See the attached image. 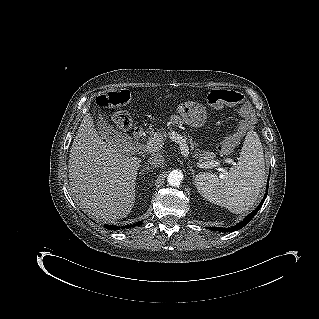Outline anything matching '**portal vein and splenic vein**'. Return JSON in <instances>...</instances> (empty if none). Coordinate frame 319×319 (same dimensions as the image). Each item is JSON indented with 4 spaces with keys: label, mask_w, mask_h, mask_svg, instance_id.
<instances>
[{
    "label": "portal vein and splenic vein",
    "mask_w": 319,
    "mask_h": 319,
    "mask_svg": "<svg viewBox=\"0 0 319 319\" xmlns=\"http://www.w3.org/2000/svg\"><path fill=\"white\" fill-rule=\"evenodd\" d=\"M165 137L168 136L171 140L179 143L180 145V150H181V154L185 157L188 158L189 157V147L186 143V140L179 134H177L174 131L168 132V133H164L163 134ZM162 134H155L154 138L152 140H150L146 145L145 148L147 149V151H155L158 149V146L161 143V137L163 136ZM227 162L229 163H234L232 159H227ZM219 163L217 162L216 165H218ZM198 167L200 168H206V166L204 164H198ZM220 171L223 172V174H225V170L222 168H219Z\"/></svg>",
    "instance_id": "1"
}]
</instances>
